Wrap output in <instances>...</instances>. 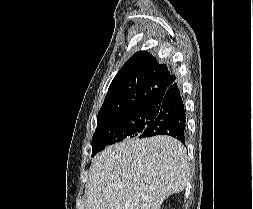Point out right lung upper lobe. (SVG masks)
<instances>
[{"label":"right lung upper lobe","mask_w":253,"mask_h":209,"mask_svg":"<svg viewBox=\"0 0 253 209\" xmlns=\"http://www.w3.org/2000/svg\"><path fill=\"white\" fill-rule=\"evenodd\" d=\"M176 81L166 64L146 51L135 53L119 70L98 112L104 121L141 106H152Z\"/></svg>","instance_id":"obj_1"}]
</instances>
